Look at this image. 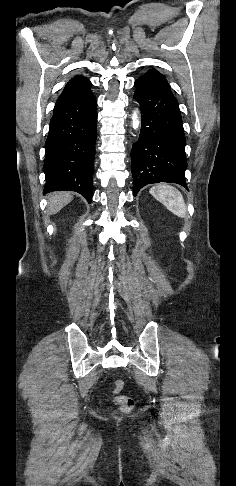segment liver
I'll list each match as a JSON object with an SVG mask.
<instances>
[{"instance_id":"obj_1","label":"liver","mask_w":236,"mask_h":486,"mask_svg":"<svg viewBox=\"0 0 236 486\" xmlns=\"http://www.w3.org/2000/svg\"><path fill=\"white\" fill-rule=\"evenodd\" d=\"M73 196L69 192H55L48 196L50 214L58 213L64 206L70 203Z\"/></svg>"}]
</instances>
